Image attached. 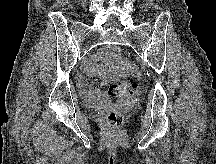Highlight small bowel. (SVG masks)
Instances as JSON below:
<instances>
[{"label":"small bowel","instance_id":"1","mask_svg":"<svg viewBox=\"0 0 216 164\" xmlns=\"http://www.w3.org/2000/svg\"><path fill=\"white\" fill-rule=\"evenodd\" d=\"M97 59L100 60V65L95 64ZM132 72L133 68L129 63L122 60L120 51L117 48H111L99 55L87 66L86 73L89 79L81 78L79 83L84 95L89 100L100 105L107 101V97L106 94L99 89L97 77L106 81L127 76Z\"/></svg>","mask_w":216,"mask_h":164}]
</instances>
